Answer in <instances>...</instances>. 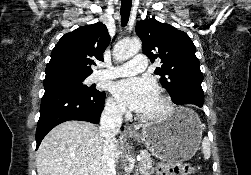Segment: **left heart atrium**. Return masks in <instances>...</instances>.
Masks as SVG:
<instances>
[{"mask_svg": "<svg viewBox=\"0 0 251 175\" xmlns=\"http://www.w3.org/2000/svg\"><path fill=\"white\" fill-rule=\"evenodd\" d=\"M117 102L139 113H149L159 100L158 87L147 77L131 76L116 81L112 86Z\"/></svg>", "mask_w": 251, "mask_h": 175, "instance_id": "left-heart-atrium-1", "label": "left heart atrium"}]
</instances>
